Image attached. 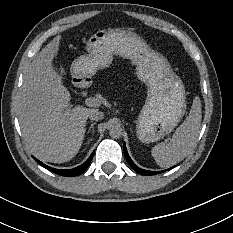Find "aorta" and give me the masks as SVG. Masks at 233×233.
Returning a JSON list of instances; mask_svg holds the SVG:
<instances>
[{"label": "aorta", "instance_id": "aorta-1", "mask_svg": "<svg viewBox=\"0 0 233 233\" xmlns=\"http://www.w3.org/2000/svg\"><path fill=\"white\" fill-rule=\"evenodd\" d=\"M123 130L121 126L113 124L109 130V134L112 138H120L122 136Z\"/></svg>", "mask_w": 233, "mask_h": 233}]
</instances>
